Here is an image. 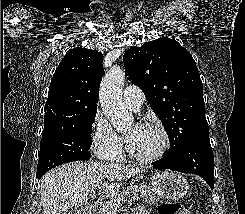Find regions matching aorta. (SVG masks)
<instances>
[{
	"mask_svg": "<svg viewBox=\"0 0 245 214\" xmlns=\"http://www.w3.org/2000/svg\"><path fill=\"white\" fill-rule=\"evenodd\" d=\"M124 81V70L119 66H113L100 85L99 102L102 111L117 129L124 128L132 121V116L125 110L122 101Z\"/></svg>",
	"mask_w": 245,
	"mask_h": 214,
	"instance_id": "1",
	"label": "aorta"
}]
</instances>
